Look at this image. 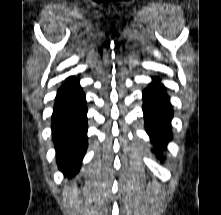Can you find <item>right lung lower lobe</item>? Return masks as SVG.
Masks as SVG:
<instances>
[{
	"instance_id": "1",
	"label": "right lung lower lobe",
	"mask_w": 221,
	"mask_h": 215,
	"mask_svg": "<svg viewBox=\"0 0 221 215\" xmlns=\"http://www.w3.org/2000/svg\"><path fill=\"white\" fill-rule=\"evenodd\" d=\"M87 106L85 94L75 77L59 88L52 115L57 164L65 176L79 170L87 149Z\"/></svg>"
}]
</instances>
